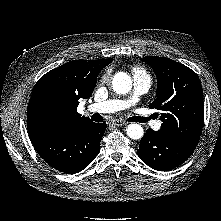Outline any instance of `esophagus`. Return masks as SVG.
I'll return each instance as SVG.
<instances>
[{
	"mask_svg": "<svg viewBox=\"0 0 221 221\" xmlns=\"http://www.w3.org/2000/svg\"><path fill=\"white\" fill-rule=\"evenodd\" d=\"M112 124L119 127V126L127 125V122L123 120H114Z\"/></svg>",
	"mask_w": 221,
	"mask_h": 221,
	"instance_id": "1",
	"label": "esophagus"
}]
</instances>
